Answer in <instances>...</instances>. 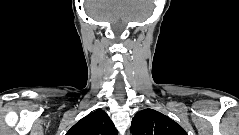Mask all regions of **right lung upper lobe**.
<instances>
[{
    "label": "right lung upper lobe",
    "instance_id": "cb5924a9",
    "mask_svg": "<svg viewBox=\"0 0 239 135\" xmlns=\"http://www.w3.org/2000/svg\"><path fill=\"white\" fill-rule=\"evenodd\" d=\"M66 135H117V129L103 110H96L79 120Z\"/></svg>",
    "mask_w": 239,
    "mask_h": 135
}]
</instances>
